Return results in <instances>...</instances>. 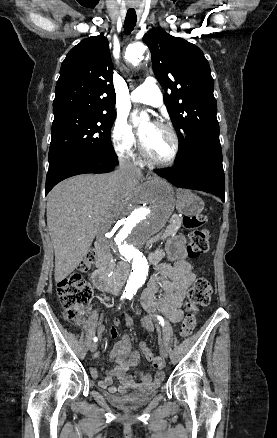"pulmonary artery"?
Instances as JSON below:
<instances>
[{"instance_id": "obj_1", "label": "pulmonary artery", "mask_w": 277, "mask_h": 438, "mask_svg": "<svg viewBox=\"0 0 277 438\" xmlns=\"http://www.w3.org/2000/svg\"><path fill=\"white\" fill-rule=\"evenodd\" d=\"M158 76H147L142 87H138L131 93V100L134 103H142L159 107L162 105L163 92L159 89L162 85L157 83Z\"/></svg>"}]
</instances>
